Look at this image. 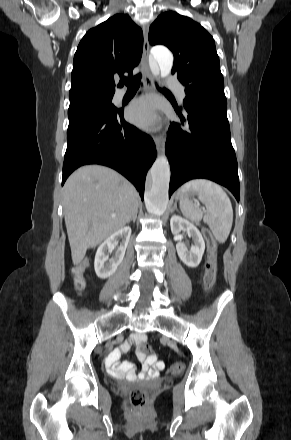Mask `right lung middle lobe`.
<instances>
[{
	"label": "right lung middle lobe",
	"mask_w": 291,
	"mask_h": 440,
	"mask_svg": "<svg viewBox=\"0 0 291 440\" xmlns=\"http://www.w3.org/2000/svg\"><path fill=\"white\" fill-rule=\"evenodd\" d=\"M112 96H88L80 98L74 101H70V107L77 105H93L101 107L105 110H117V108L112 104Z\"/></svg>",
	"instance_id": "dd1d6c3e"
}]
</instances>
